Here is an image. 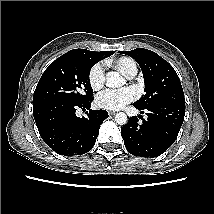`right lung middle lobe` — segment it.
<instances>
[{
	"mask_svg": "<svg viewBox=\"0 0 214 214\" xmlns=\"http://www.w3.org/2000/svg\"><path fill=\"white\" fill-rule=\"evenodd\" d=\"M99 60L83 50L68 51L42 74L33 95V107L51 101H87L93 98L89 73Z\"/></svg>",
	"mask_w": 214,
	"mask_h": 214,
	"instance_id": "1",
	"label": "right lung middle lobe"
}]
</instances>
